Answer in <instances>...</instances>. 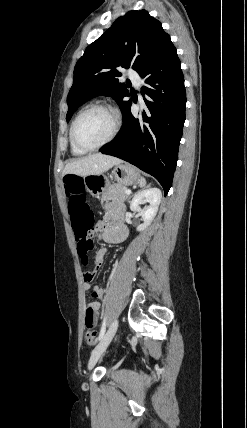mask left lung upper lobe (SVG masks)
<instances>
[{"instance_id": "obj_1", "label": "left lung upper lobe", "mask_w": 247, "mask_h": 428, "mask_svg": "<svg viewBox=\"0 0 247 428\" xmlns=\"http://www.w3.org/2000/svg\"><path fill=\"white\" fill-rule=\"evenodd\" d=\"M174 47L161 23L146 10H132L120 17L99 39L90 44L78 60L73 85L67 97V122L74 111L89 99L111 96L123 111L129 96L118 67L141 73L154 60Z\"/></svg>"}]
</instances>
